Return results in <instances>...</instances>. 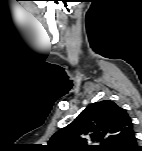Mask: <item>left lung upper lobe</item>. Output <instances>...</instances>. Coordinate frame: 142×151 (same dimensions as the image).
<instances>
[{"mask_svg":"<svg viewBox=\"0 0 142 151\" xmlns=\"http://www.w3.org/2000/svg\"><path fill=\"white\" fill-rule=\"evenodd\" d=\"M133 133L126 110L104 100L91 104L72 123L56 132L48 147L54 151H120Z\"/></svg>","mask_w":142,"mask_h":151,"instance_id":"1","label":"left lung upper lobe"}]
</instances>
